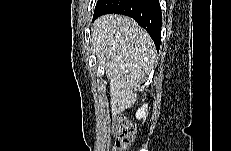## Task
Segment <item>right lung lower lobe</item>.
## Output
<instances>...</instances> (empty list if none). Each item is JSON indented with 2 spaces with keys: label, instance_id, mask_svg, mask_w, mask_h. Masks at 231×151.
<instances>
[{
  "label": "right lung lower lobe",
  "instance_id": "obj_1",
  "mask_svg": "<svg viewBox=\"0 0 231 151\" xmlns=\"http://www.w3.org/2000/svg\"><path fill=\"white\" fill-rule=\"evenodd\" d=\"M109 13L132 17L145 28L157 50L161 43L162 12L158 0H98L93 20Z\"/></svg>",
  "mask_w": 231,
  "mask_h": 151
}]
</instances>
